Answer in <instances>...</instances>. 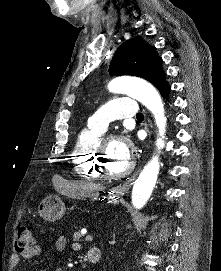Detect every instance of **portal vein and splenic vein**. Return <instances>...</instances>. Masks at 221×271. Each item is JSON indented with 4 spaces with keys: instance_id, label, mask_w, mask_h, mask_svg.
I'll return each instance as SVG.
<instances>
[{
    "instance_id": "portal-vein-and-splenic-vein-1",
    "label": "portal vein and splenic vein",
    "mask_w": 221,
    "mask_h": 271,
    "mask_svg": "<svg viewBox=\"0 0 221 271\" xmlns=\"http://www.w3.org/2000/svg\"><path fill=\"white\" fill-rule=\"evenodd\" d=\"M93 234H87L86 237H84V242H91L93 240Z\"/></svg>"
}]
</instances>
